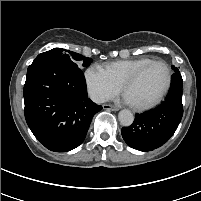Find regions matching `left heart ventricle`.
I'll return each mask as SVG.
<instances>
[{
    "instance_id": "left-heart-ventricle-1",
    "label": "left heart ventricle",
    "mask_w": 201,
    "mask_h": 201,
    "mask_svg": "<svg viewBox=\"0 0 201 201\" xmlns=\"http://www.w3.org/2000/svg\"><path fill=\"white\" fill-rule=\"evenodd\" d=\"M167 72L160 63L149 66L127 87L125 97L130 103L143 104L155 99L165 86Z\"/></svg>"
}]
</instances>
